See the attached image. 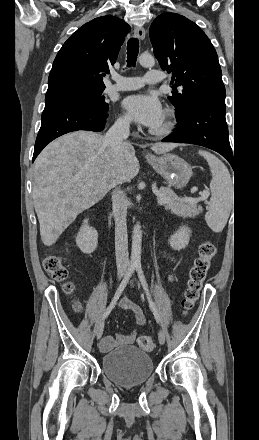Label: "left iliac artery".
Here are the masks:
<instances>
[{
	"instance_id": "obj_1",
	"label": "left iliac artery",
	"mask_w": 259,
	"mask_h": 440,
	"mask_svg": "<svg viewBox=\"0 0 259 440\" xmlns=\"http://www.w3.org/2000/svg\"><path fill=\"white\" fill-rule=\"evenodd\" d=\"M136 271L138 273V277H139V279L141 281V284H142V286H143V288H144V290L146 292V295H147V298H148V302H149V306L151 308V311L153 312V314L155 316V319L159 323L160 322L159 314H158L157 308H156V306H155V304H154V302H153V300H152V298L150 296L148 285H147L145 276L143 274V270H142L141 264H137L136 265Z\"/></svg>"
}]
</instances>
